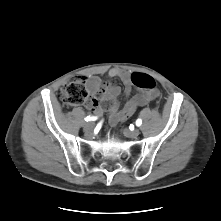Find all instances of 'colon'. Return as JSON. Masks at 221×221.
<instances>
[{
	"label": "colon",
	"mask_w": 221,
	"mask_h": 221,
	"mask_svg": "<svg viewBox=\"0 0 221 221\" xmlns=\"http://www.w3.org/2000/svg\"><path fill=\"white\" fill-rule=\"evenodd\" d=\"M133 82L137 87L152 90L155 88V81L149 75L135 74ZM60 100L67 105H80L87 101L88 94L83 78H74L65 84L59 93Z\"/></svg>",
	"instance_id": "1"
}]
</instances>
